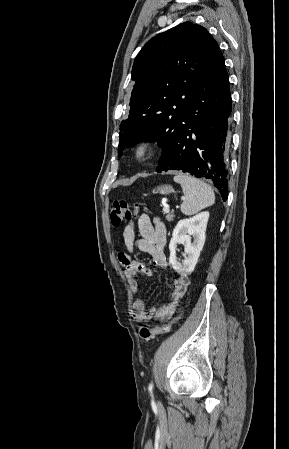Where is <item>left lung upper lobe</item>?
<instances>
[{
    "instance_id": "obj_1",
    "label": "left lung upper lobe",
    "mask_w": 289,
    "mask_h": 449,
    "mask_svg": "<svg viewBox=\"0 0 289 449\" xmlns=\"http://www.w3.org/2000/svg\"><path fill=\"white\" fill-rule=\"evenodd\" d=\"M219 46L202 26L185 22L149 40L135 58L129 117L120 125L119 156L126 145L157 141L168 151L175 128Z\"/></svg>"
}]
</instances>
